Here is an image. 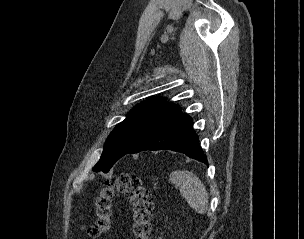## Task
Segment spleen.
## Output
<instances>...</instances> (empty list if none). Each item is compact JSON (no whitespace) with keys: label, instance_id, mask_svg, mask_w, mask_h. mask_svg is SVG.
Segmentation results:
<instances>
[{"label":"spleen","instance_id":"1","mask_svg":"<svg viewBox=\"0 0 304 239\" xmlns=\"http://www.w3.org/2000/svg\"><path fill=\"white\" fill-rule=\"evenodd\" d=\"M170 181L179 187L182 197L197 213L204 214L208 210V193L201 180L192 172L176 171L171 173Z\"/></svg>","mask_w":304,"mask_h":239}]
</instances>
